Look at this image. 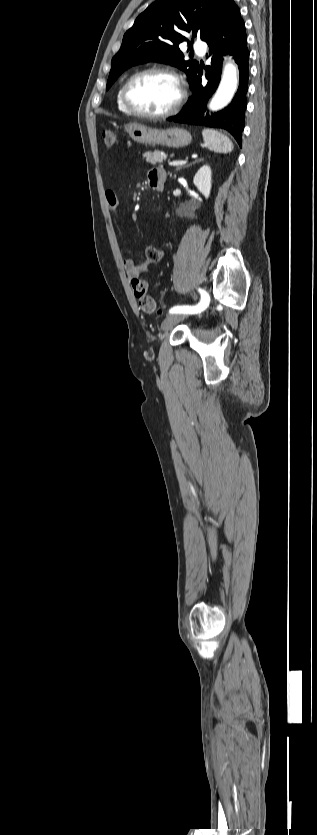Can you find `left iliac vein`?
<instances>
[{"label":"left iliac vein","mask_w":317,"mask_h":835,"mask_svg":"<svg viewBox=\"0 0 317 835\" xmlns=\"http://www.w3.org/2000/svg\"><path fill=\"white\" fill-rule=\"evenodd\" d=\"M184 318H185V315H184V314H182V313H174V314H171V315L167 316V317L163 320V322H162V324H161V330H162V332H164V333L168 332V331H169V330H171V329H172V328H173V327H174L177 323H179L180 321H182Z\"/></svg>","instance_id":"1"}]
</instances>
